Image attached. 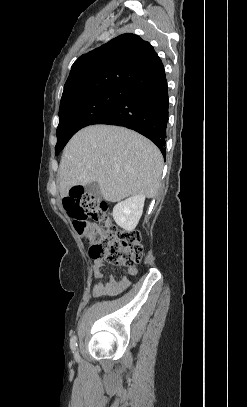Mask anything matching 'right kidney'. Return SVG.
I'll return each mask as SVG.
<instances>
[{
  "mask_svg": "<svg viewBox=\"0 0 247 407\" xmlns=\"http://www.w3.org/2000/svg\"><path fill=\"white\" fill-rule=\"evenodd\" d=\"M144 202V195H135L116 204L113 208L115 222L126 231L134 230L142 216Z\"/></svg>",
  "mask_w": 247,
  "mask_h": 407,
  "instance_id": "obj_1",
  "label": "right kidney"
}]
</instances>
